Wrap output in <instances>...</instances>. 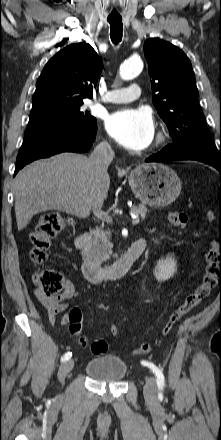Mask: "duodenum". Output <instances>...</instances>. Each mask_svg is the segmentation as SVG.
I'll return each instance as SVG.
<instances>
[{
	"label": "duodenum",
	"mask_w": 221,
	"mask_h": 440,
	"mask_svg": "<svg viewBox=\"0 0 221 440\" xmlns=\"http://www.w3.org/2000/svg\"><path fill=\"white\" fill-rule=\"evenodd\" d=\"M88 241L86 232L76 236L75 245L78 249H83ZM146 246L144 239H137L127 249V251L116 261L101 266L95 261L86 259L81 266L83 276L91 282L113 281L123 277L133 266Z\"/></svg>",
	"instance_id": "duodenum-1"
}]
</instances>
